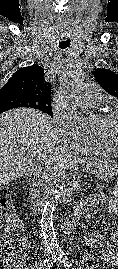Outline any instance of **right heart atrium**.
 <instances>
[{
    "label": "right heart atrium",
    "mask_w": 118,
    "mask_h": 269,
    "mask_svg": "<svg viewBox=\"0 0 118 269\" xmlns=\"http://www.w3.org/2000/svg\"><path fill=\"white\" fill-rule=\"evenodd\" d=\"M54 117L60 127L63 141L73 148L83 149L93 141V136L86 133L71 116L55 111Z\"/></svg>",
    "instance_id": "obj_1"
}]
</instances>
